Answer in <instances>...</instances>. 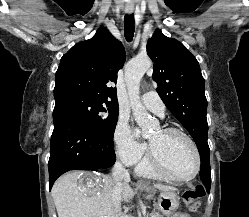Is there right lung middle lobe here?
I'll return each mask as SVG.
<instances>
[{
	"instance_id": "right-lung-middle-lobe-1",
	"label": "right lung middle lobe",
	"mask_w": 249,
	"mask_h": 217,
	"mask_svg": "<svg viewBox=\"0 0 249 217\" xmlns=\"http://www.w3.org/2000/svg\"><path fill=\"white\" fill-rule=\"evenodd\" d=\"M54 97V111L70 113L92 132L106 139L113 138L119 114L117 103L77 92H66Z\"/></svg>"
}]
</instances>
